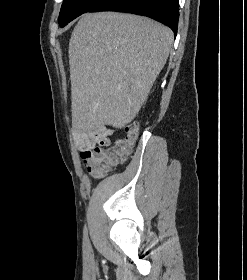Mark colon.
<instances>
[{"mask_svg":"<svg viewBox=\"0 0 247 280\" xmlns=\"http://www.w3.org/2000/svg\"><path fill=\"white\" fill-rule=\"evenodd\" d=\"M138 129L136 121L129 122L126 126L125 138L116 139L105 147H96L86 154L83 159L88 170L96 176H102L110 170L111 166L124 160L137 139Z\"/></svg>","mask_w":247,"mask_h":280,"instance_id":"obj_1","label":"colon"}]
</instances>
